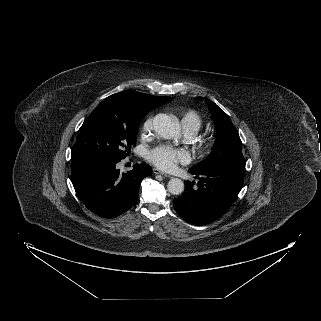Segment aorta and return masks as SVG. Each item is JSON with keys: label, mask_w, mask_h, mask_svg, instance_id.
Returning <instances> with one entry per match:
<instances>
[{"label": "aorta", "mask_w": 321, "mask_h": 321, "mask_svg": "<svg viewBox=\"0 0 321 321\" xmlns=\"http://www.w3.org/2000/svg\"><path fill=\"white\" fill-rule=\"evenodd\" d=\"M153 127L164 139H173L180 135L179 124L166 114H157L153 119ZM167 189L171 194L179 195L184 191V183L179 178H172L168 182Z\"/></svg>", "instance_id": "aorta-1"}]
</instances>
